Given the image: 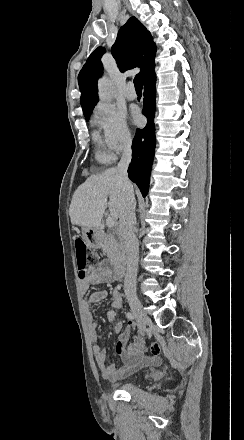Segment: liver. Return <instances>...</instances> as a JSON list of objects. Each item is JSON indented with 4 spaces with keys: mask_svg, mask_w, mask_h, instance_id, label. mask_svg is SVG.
I'll return each instance as SVG.
<instances>
[{
    "mask_svg": "<svg viewBox=\"0 0 244 440\" xmlns=\"http://www.w3.org/2000/svg\"><path fill=\"white\" fill-rule=\"evenodd\" d=\"M123 198L124 192L116 168H108L98 176H89L72 196L69 208L71 224L83 228H99L106 208H109L111 218L117 220L120 218Z\"/></svg>",
    "mask_w": 244,
    "mask_h": 440,
    "instance_id": "6515ba94",
    "label": "liver"
}]
</instances>
